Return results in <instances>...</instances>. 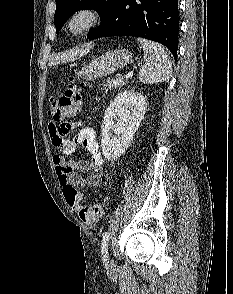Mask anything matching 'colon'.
Here are the masks:
<instances>
[{"mask_svg": "<svg viewBox=\"0 0 233 294\" xmlns=\"http://www.w3.org/2000/svg\"><path fill=\"white\" fill-rule=\"evenodd\" d=\"M70 83L58 98L51 101L49 114L55 120H67L75 117L81 108L80 87L75 85L72 77ZM63 194L68 205L77 212L79 218L86 224L96 223L102 216L100 205H85L83 196L75 188L67 186L63 189Z\"/></svg>", "mask_w": 233, "mask_h": 294, "instance_id": "colon-1", "label": "colon"}]
</instances>
